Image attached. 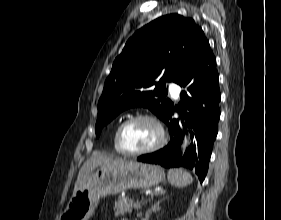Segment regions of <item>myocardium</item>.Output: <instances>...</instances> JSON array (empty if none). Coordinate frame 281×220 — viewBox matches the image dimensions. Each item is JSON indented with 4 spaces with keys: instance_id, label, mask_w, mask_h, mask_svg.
I'll list each match as a JSON object with an SVG mask.
<instances>
[{
    "instance_id": "myocardium-1",
    "label": "myocardium",
    "mask_w": 281,
    "mask_h": 220,
    "mask_svg": "<svg viewBox=\"0 0 281 220\" xmlns=\"http://www.w3.org/2000/svg\"><path fill=\"white\" fill-rule=\"evenodd\" d=\"M138 120H148V121L153 122L158 128L159 140L151 147H148V148H145L142 150L131 151V150H128L127 148H125V146L123 145L122 134H123L124 129L129 124H131L135 121H138ZM166 142H167V135H166L163 124L157 117L150 115V114H136V115L126 119L119 125V127L116 130V135H115L116 147L122 154H125L128 156H139V155L153 153V152L161 149L166 144Z\"/></svg>"
}]
</instances>
